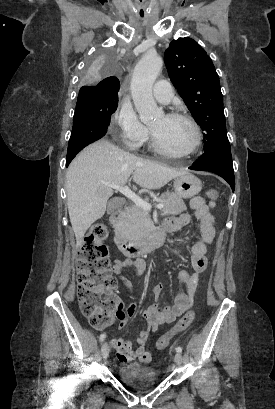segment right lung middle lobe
<instances>
[{"label": "right lung middle lobe", "instance_id": "1", "mask_svg": "<svg viewBox=\"0 0 275 409\" xmlns=\"http://www.w3.org/2000/svg\"><path fill=\"white\" fill-rule=\"evenodd\" d=\"M119 56V50H92L82 73V84L100 85L101 79H109L110 73H119ZM117 105L118 97L101 98L79 93L66 166L84 147L106 134Z\"/></svg>", "mask_w": 275, "mask_h": 409}]
</instances>
